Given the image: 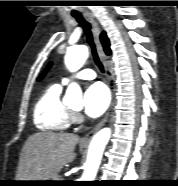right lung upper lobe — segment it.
Returning <instances> with one entry per match:
<instances>
[{"label": "right lung upper lobe", "instance_id": "right-lung-upper-lobe-1", "mask_svg": "<svg viewBox=\"0 0 178 186\" xmlns=\"http://www.w3.org/2000/svg\"><path fill=\"white\" fill-rule=\"evenodd\" d=\"M100 38H101V42L103 44L105 53L107 55H110L111 54L110 42H109V39L107 38L106 33L105 32H102L101 35H100Z\"/></svg>", "mask_w": 178, "mask_h": 186}]
</instances>
